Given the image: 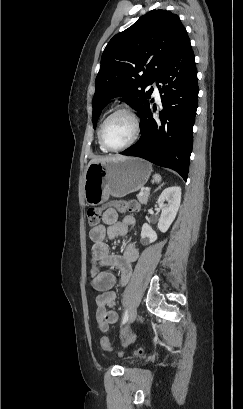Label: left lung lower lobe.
I'll list each match as a JSON object with an SVG mask.
<instances>
[{"instance_id": "left-lung-lower-lobe-1", "label": "left lung lower lobe", "mask_w": 243, "mask_h": 409, "mask_svg": "<svg viewBox=\"0 0 243 409\" xmlns=\"http://www.w3.org/2000/svg\"><path fill=\"white\" fill-rule=\"evenodd\" d=\"M156 83L162 84L158 85L162 106L152 112L153 100L146 101L140 113L142 136L121 154L173 169L186 181L198 102L197 69L190 40L177 51Z\"/></svg>"}]
</instances>
